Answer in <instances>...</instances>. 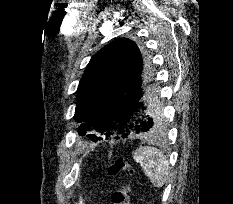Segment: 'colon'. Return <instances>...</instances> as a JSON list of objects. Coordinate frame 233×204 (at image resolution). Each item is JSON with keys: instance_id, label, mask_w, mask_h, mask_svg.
<instances>
[{"instance_id": "colon-1", "label": "colon", "mask_w": 233, "mask_h": 204, "mask_svg": "<svg viewBox=\"0 0 233 204\" xmlns=\"http://www.w3.org/2000/svg\"><path fill=\"white\" fill-rule=\"evenodd\" d=\"M106 173L108 176L112 177L120 174L127 175V182L113 191L111 194V201L113 204H129L131 182L135 175L134 167L125 159L118 158L109 165Z\"/></svg>"}]
</instances>
